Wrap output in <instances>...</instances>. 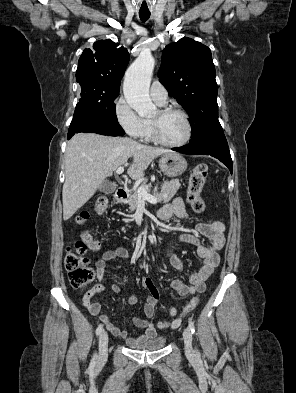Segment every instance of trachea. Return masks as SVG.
I'll return each instance as SVG.
<instances>
[{
    "mask_svg": "<svg viewBox=\"0 0 296 393\" xmlns=\"http://www.w3.org/2000/svg\"><path fill=\"white\" fill-rule=\"evenodd\" d=\"M139 17L142 20V22H145L146 20L149 19L150 12H139Z\"/></svg>",
    "mask_w": 296,
    "mask_h": 393,
    "instance_id": "trachea-1",
    "label": "trachea"
}]
</instances>
